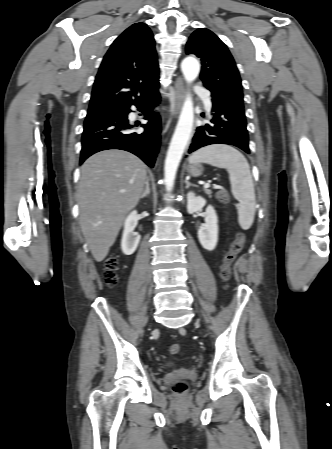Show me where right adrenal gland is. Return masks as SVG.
<instances>
[{
  "instance_id": "obj_1",
  "label": "right adrenal gland",
  "mask_w": 332,
  "mask_h": 449,
  "mask_svg": "<svg viewBox=\"0 0 332 449\" xmlns=\"http://www.w3.org/2000/svg\"><path fill=\"white\" fill-rule=\"evenodd\" d=\"M150 194V185H149V177H146L145 189L141 194L140 198H144Z\"/></svg>"
}]
</instances>
